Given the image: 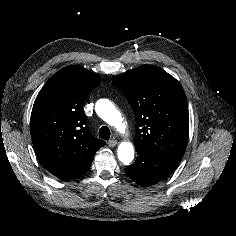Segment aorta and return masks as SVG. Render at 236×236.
Here are the masks:
<instances>
[{"mask_svg": "<svg viewBox=\"0 0 236 236\" xmlns=\"http://www.w3.org/2000/svg\"><path fill=\"white\" fill-rule=\"evenodd\" d=\"M96 113L109 125L123 132L125 125L121 113L107 99H101L96 103ZM118 159L125 165H129L134 159V147L131 142H122L117 149Z\"/></svg>", "mask_w": 236, "mask_h": 236, "instance_id": "762f6f07", "label": "aorta"}]
</instances>
